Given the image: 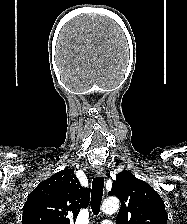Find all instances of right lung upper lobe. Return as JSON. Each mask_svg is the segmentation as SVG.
Returning a JSON list of instances; mask_svg holds the SVG:
<instances>
[{
    "label": "right lung upper lobe",
    "mask_w": 187,
    "mask_h": 224,
    "mask_svg": "<svg viewBox=\"0 0 187 224\" xmlns=\"http://www.w3.org/2000/svg\"><path fill=\"white\" fill-rule=\"evenodd\" d=\"M90 189L83 188L72 169L42 181L28 196L22 224H70L86 208Z\"/></svg>",
    "instance_id": "right-lung-upper-lobe-1"
}]
</instances>
